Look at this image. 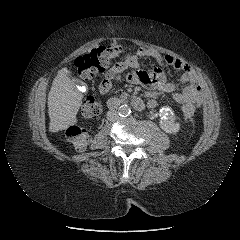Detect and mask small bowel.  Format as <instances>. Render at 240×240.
Segmentation results:
<instances>
[{
  "label": "small bowel",
  "mask_w": 240,
  "mask_h": 240,
  "mask_svg": "<svg viewBox=\"0 0 240 240\" xmlns=\"http://www.w3.org/2000/svg\"><path fill=\"white\" fill-rule=\"evenodd\" d=\"M140 58H153L160 64L182 71L180 83L184 87L181 92L175 93L173 98L180 104H192L195 108L200 107L202 104V91L196 72L188 64L171 55H162L154 49L145 47L139 48L133 54H128L124 61L117 63L109 69L99 85V92L101 94L108 93L112 88L113 82L127 69H132V72L126 75L127 81L132 84H140L159 92H172L177 89L178 85L168 82L160 68H154L149 71L141 70ZM156 105L157 101L154 98L147 102L149 108H154Z\"/></svg>",
  "instance_id": "1"
}]
</instances>
